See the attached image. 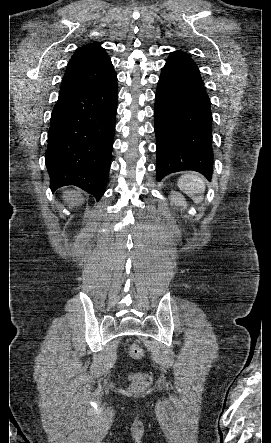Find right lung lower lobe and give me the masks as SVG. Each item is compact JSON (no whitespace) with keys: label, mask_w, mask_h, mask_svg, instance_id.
Instances as JSON below:
<instances>
[{"label":"right lung lower lobe","mask_w":271,"mask_h":443,"mask_svg":"<svg viewBox=\"0 0 271 443\" xmlns=\"http://www.w3.org/2000/svg\"><path fill=\"white\" fill-rule=\"evenodd\" d=\"M117 77L60 92L51 115L46 166L54 192L78 186L98 201L105 192L115 131Z\"/></svg>","instance_id":"obj_1"}]
</instances>
